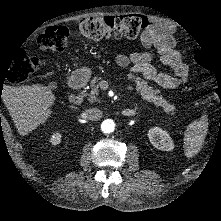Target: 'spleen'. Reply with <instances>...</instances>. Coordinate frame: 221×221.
I'll list each match as a JSON object with an SVG mask.
<instances>
[{"label":"spleen","instance_id":"spleen-1","mask_svg":"<svg viewBox=\"0 0 221 221\" xmlns=\"http://www.w3.org/2000/svg\"><path fill=\"white\" fill-rule=\"evenodd\" d=\"M208 120L202 118L189 125L184 133V151L187 157H194L202 148L207 133Z\"/></svg>","mask_w":221,"mask_h":221}]
</instances>
